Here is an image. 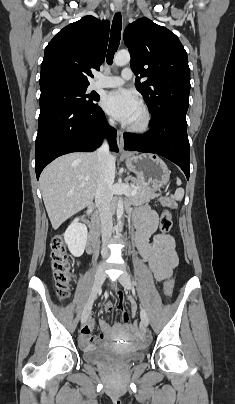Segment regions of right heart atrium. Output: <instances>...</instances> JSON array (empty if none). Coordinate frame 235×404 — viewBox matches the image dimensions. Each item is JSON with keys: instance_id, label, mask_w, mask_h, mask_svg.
Wrapping results in <instances>:
<instances>
[{"instance_id": "right-heart-atrium-1", "label": "right heart atrium", "mask_w": 235, "mask_h": 404, "mask_svg": "<svg viewBox=\"0 0 235 404\" xmlns=\"http://www.w3.org/2000/svg\"><path fill=\"white\" fill-rule=\"evenodd\" d=\"M107 123H108V124H112V123H113L112 119H111V118H107Z\"/></svg>"}]
</instances>
